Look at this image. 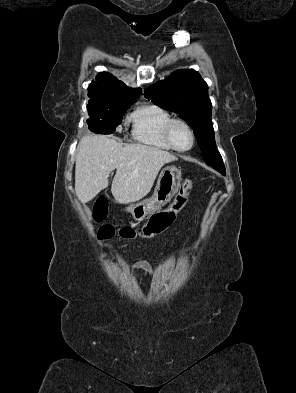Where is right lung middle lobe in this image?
I'll return each instance as SVG.
<instances>
[{"label": "right lung middle lobe", "instance_id": "1", "mask_svg": "<svg viewBox=\"0 0 296 393\" xmlns=\"http://www.w3.org/2000/svg\"><path fill=\"white\" fill-rule=\"evenodd\" d=\"M134 103L132 100H109L89 102L87 120L90 131L97 134H111L121 123L126 110Z\"/></svg>", "mask_w": 296, "mask_h": 393}]
</instances>
